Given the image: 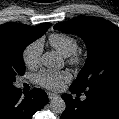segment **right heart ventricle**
I'll list each match as a JSON object with an SVG mask.
<instances>
[{"mask_svg":"<svg viewBox=\"0 0 119 119\" xmlns=\"http://www.w3.org/2000/svg\"><path fill=\"white\" fill-rule=\"evenodd\" d=\"M50 45L63 56L68 57L78 49L77 40L65 33H54L49 37Z\"/></svg>","mask_w":119,"mask_h":119,"instance_id":"1","label":"right heart ventricle"}]
</instances>
